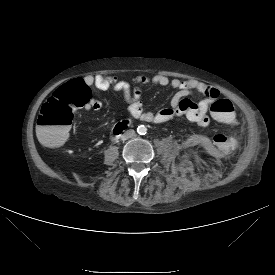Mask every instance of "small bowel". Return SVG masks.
Segmentation results:
<instances>
[{"instance_id": "1", "label": "small bowel", "mask_w": 275, "mask_h": 275, "mask_svg": "<svg viewBox=\"0 0 275 275\" xmlns=\"http://www.w3.org/2000/svg\"><path fill=\"white\" fill-rule=\"evenodd\" d=\"M87 85L94 86L98 89H111L122 95L124 102L127 104L128 111L133 118L140 119L144 122L161 124L171 119L185 116L190 121L206 126L210 122L209 106L213 98L220 97L219 91L211 86L203 85L197 80L188 79L180 80L169 78L163 74L154 76H138L133 82L119 79L115 76L89 75L84 78ZM138 85H157L169 86L176 90L173 95L170 106L162 108L157 112L145 111L141 101V90ZM196 93L205 95V99L198 103L189 100V97ZM102 103L93 100L87 107V110H99ZM236 119L229 121L233 124ZM214 149L224 157L230 156L235 149V140L225 131H216L211 138Z\"/></svg>"}]
</instances>
